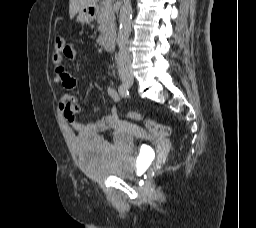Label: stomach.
<instances>
[{"mask_svg": "<svg viewBox=\"0 0 256 228\" xmlns=\"http://www.w3.org/2000/svg\"><path fill=\"white\" fill-rule=\"evenodd\" d=\"M95 19V11L93 8L87 7L78 12L77 21L84 24L90 23Z\"/></svg>", "mask_w": 256, "mask_h": 228, "instance_id": "obj_1", "label": "stomach"}]
</instances>
